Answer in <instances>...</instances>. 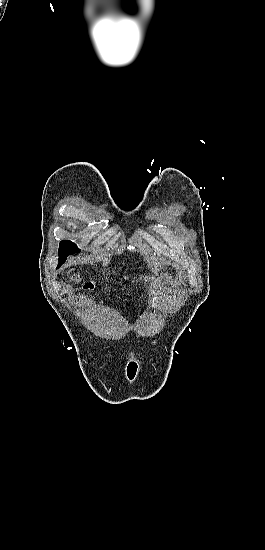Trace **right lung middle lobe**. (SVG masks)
Returning <instances> with one entry per match:
<instances>
[{"instance_id": "right-lung-middle-lobe-1", "label": "right lung middle lobe", "mask_w": 265, "mask_h": 550, "mask_svg": "<svg viewBox=\"0 0 265 550\" xmlns=\"http://www.w3.org/2000/svg\"><path fill=\"white\" fill-rule=\"evenodd\" d=\"M80 251L81 250L77 247L75 243L69 240L61 241L59 245V251H58V255H59L58 267L61 266L66 261L67 256L74 253H78Z\"/></svg>"}]
</instances>
